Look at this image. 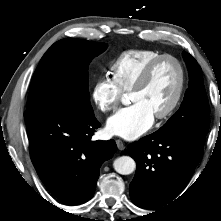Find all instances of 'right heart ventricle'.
I'll return each mask as SVG.
<instances>
[{"label":"right heart ventricle","instance_id":"obj_1","mask_svg":"<svg viewBox=\"0 0 221 221\" xmlns=\"http://www.w3.org/2000/svg\"><path fill=\"white\" fill-rule=\"evenodd\" d=\"M161 55L150 49H133L121 53L110 64L112 80L122 92H129L147 64Z\"/></svg>","mask_w":221,"mask_h":221}]
</instances>
